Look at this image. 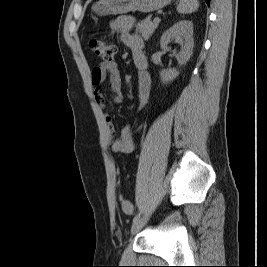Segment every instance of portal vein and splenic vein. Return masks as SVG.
<instances>
[{"instance_id":"obj_1","label":"portal vein and splenic vein","mask_w":267,"mask_h":267,"mask_svg":"<svg viewBox=\"0 0 267 267\" xmlns=\"http://www.w3.org/2000/svg\"><path fill=\"white\" fill-rule=\"evenodd\" d=\"M160 21H161V19L159 17H155L153 20V22H155V23H159Z\"/></svg>"}]
</instances>
